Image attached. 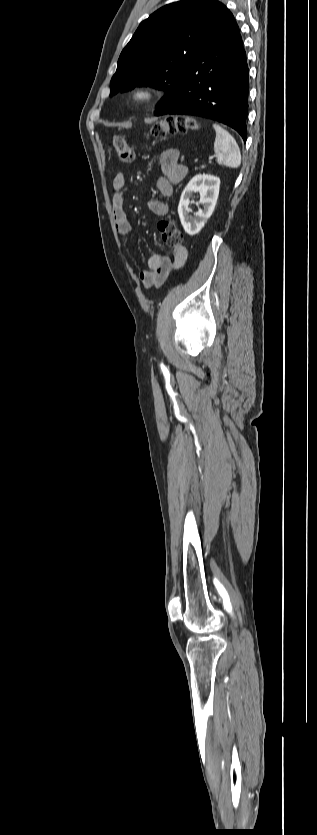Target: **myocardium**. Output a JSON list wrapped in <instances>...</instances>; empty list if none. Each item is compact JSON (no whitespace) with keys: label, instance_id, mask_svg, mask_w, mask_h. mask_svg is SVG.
I'll list each match as a JSON object with an SVG mask.
<instances>
[{"label":"myocardium","instance_id":"1","mask_svg":"<svg viewBox=\"0 0 317 835\" xmlns=\"http://www.w3.org/2000/svg\"><path fill=\"white\" fill-rule=\"evenodd\" d=\"M156 95L155 90L145 84H140L133 87L129 93L130 99L136 104H145L150 102Z\"/></svg>","mask_w":317,"mask_h":835}]
</instances>
